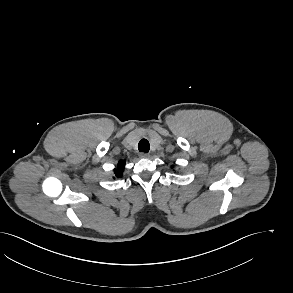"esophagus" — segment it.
Instances as JSON below:
<instances>
[{
	"label": "esophagus",
	"mask_w": 293,
	"mask_h": 293,
	"mask_svg": "<svg viewBox=\"0 0 293 293\" xmlns=\"http://www.w3.org/2000/svg\"><path fill=\"white\" fill-rule=\"evenodd\" d=\"M139 157L140 158H148L149 154H147V153H139Z\"/></svg>",
	"instance_id": "34e87169"
}]
</instances>
